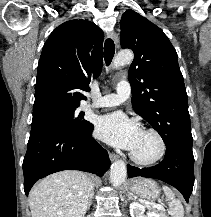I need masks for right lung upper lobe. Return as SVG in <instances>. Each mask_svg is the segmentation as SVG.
<instances>
[{
    "instance_id": "obj_1",
    "label": "right lung upper lobe",
    "mask_w": 211,
    "mask_h": 217,
    "mask_svg": "<svg viewBox=\"0 0 211 217\" xmlns=\"http://www.w3.org/2000/svg\"><path fill=\"white\" fill-rule=\"evenodd\" d=\"M103 31L88 20L59 25L45 42L38 63L33 119L76 109L86 100L91 78L102 69Z\"/></svg>"
}]
</instances>
